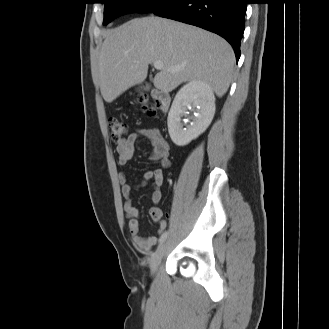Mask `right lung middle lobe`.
Here are the masks:
<instances>
[{"instance_id":"obj_1","label":"right lung middle lobe","mask_w":329,"mask_h":329,"mask_svg":"<svg viewBox=\"0 0 329 329\" xmlns=\"http://www.w3.org/2000/svg\"><path fill=\"white\" fill-rule=\"evenodd\" d=\"M171 0H103L104 21L103 25H107L115 18L129 13H152Z\"/></svg>"}]
</instances>
